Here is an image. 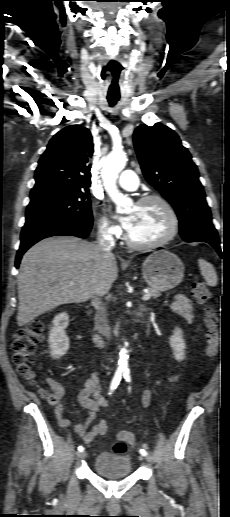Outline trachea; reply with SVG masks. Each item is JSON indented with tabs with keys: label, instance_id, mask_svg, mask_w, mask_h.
Segmentation results:
<instances>
[{
	"label": "trachea",
	"instance_id": "obj_1",
	"mask_svg": "<svg viewBox=\"0 0 230 517\" xmlns=\"http://www.w3.org/2000/svg\"><path fill=\"white\" fill-rule=\"evenodd\" d=\"M119 99H120L119 96H114L111 94H108V96H107V100H108V103L110 106L116 105V103L119 101Z\"/></svg>",
	"mask_w": 230,
	"mask_h": 517
}]
</instances>
